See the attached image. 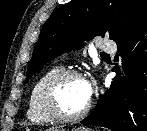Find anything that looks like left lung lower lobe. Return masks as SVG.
Segmentation results:
<instances>
[{"label":"left lung lower lobe","mask_w":147,"mask_h":131,"mask_svg":"<svg viewBox=\"0 0 147 131\" xmlns=\"http://www.w3.org/2000/svg\"><path fill=\"white\" fill-rule=\"evenodd\" d=\"M133 40V42H131ZM122 69L83 124L112 131H147V24L131 39L117 43Z\"/></svg>","instance_id":"1"}]
</instances>
